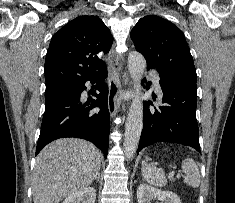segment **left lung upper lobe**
<instances>
[{"label":"left lung upper lobe","mask_w":235,"mask_h":203,"mask_svg":"<svg viewBox=\"0 0 235 203\" xmlns=\"http://www.w3.org/2000/svg\"><path fill=\"white\" fill-rule=\"evenodd\" d=\"M135 48L147 66L171 77L196 84L197 75L183 32L170 21L155 15L141 18L131 31Z\"/></svg>","instance_id":"1"}]
</instances>
